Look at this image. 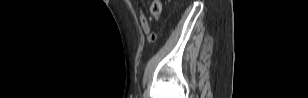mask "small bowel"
<instances>
[{
  "label": "small bowel",
  "instance_id": "obj_1",
  "mask_svg": "<svg viewBox=\"0 0 308 98\" xmlns=\"http://www.w3.org/2000/svg\"><path fill=\"white\" fill-rule=\"evenodd\" d=\"M139 22L144 33L149 35L151 33L149 21L140 8H139Z\"/></svg>",
  "mask_w": 308,
  "mask_h": 98
}]
</instances>
